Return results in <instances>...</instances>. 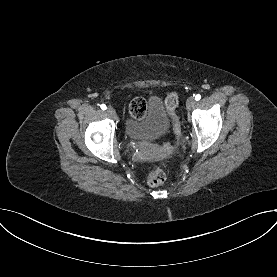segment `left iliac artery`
Instances as JSON below:
<instances>
[{"label":"left iliac artery","instance_id":"obj_1","mask_svg":"<svg viewBox=\"0 0 277 277\" xmlns=\"http://www.w3.org/2000/svg\"><path fill=\"white\" fill-rule=\"evenodd\" d=\"M200 99H201L200 94H197V95L195 96V100L198 101V100H200Z\"/></svg>","mask_w":277,"mask_h":277}]
</instances>
